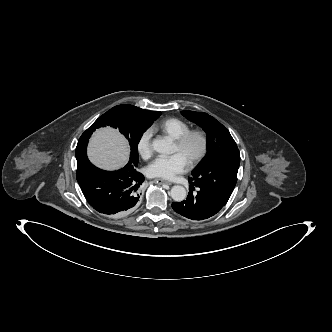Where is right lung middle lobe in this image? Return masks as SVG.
Returning a JSON list of instances; mask_svg holds the SVG:
<instances>
[{
  "label": "right lung middle lobe",
  "instance_id": "dd1d6c3e",
  "mask_svg": "<svg viewBox=\"0 0 332 332\" xmlns=\"http://www.w3.org/2000/svg\"><path fill=\"white\" fill-rule=\"evenodd\" d=\"M161 115L158 111L143 110L132 105H118L100 116L80 137L76 147L77 167L82 166L86 159V147L92 132L102 126L118 128L127 138L131 148L130 160L125 166L129 171L135 170L138 161V143L145 130Z\"/></svg>",
  "mask_w": 332,
  "mask_h": 332
}]
</instances>
